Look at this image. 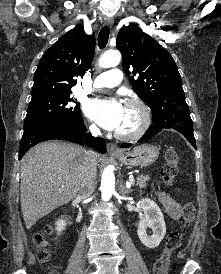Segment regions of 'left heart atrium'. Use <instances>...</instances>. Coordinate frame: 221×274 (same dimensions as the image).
Here are the masks:
<instances>
[{"instance_id":"39dd6f15","label":"left heart atrium","mask_w":221,"mask_h":274,"mask_svg":"<svg viewBox=\"0 0 221 274\" xmlns=\"http://www.w3.org/2000/svg\"><path fill=\"white\" fill-rule=\"evenodd\" d=\"M86 115L107 130H117L124 107L117 99H91L85 105Z\"/></svg>"}]
</instances>
